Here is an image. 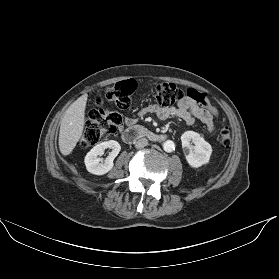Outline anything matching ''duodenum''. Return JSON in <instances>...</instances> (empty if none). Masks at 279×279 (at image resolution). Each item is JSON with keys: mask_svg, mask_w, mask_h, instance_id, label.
<instances>
[{"mask_svg": "<svg viewBox=\"0 0 279 279\" xmlns=\"http://www.w3.org/2000/svg\"><path fill=\"white\" fill-rule=\"evenodd\" d=\"M166 137H167L166 134L153 132L144 127H139V126L131 127L129 129L122 131L121 133L122 140L128 144H131L134 141L141 138H146L151 141H161V140H165Z\"/></svg>", "mask_w": 279, "mask_h": 279, "instance_id": "duodenum-1", "label": "duodenum"}]
</instances>
